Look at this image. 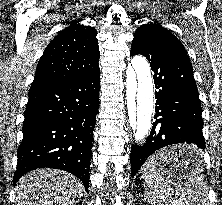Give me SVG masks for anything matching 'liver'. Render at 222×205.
Segmentation results:
<instances>
[{
    "instance_id": "6515ba94",
    "label": "liver",
    "mask_w": 222,
    "mask_h": 205,
    "mask_svg": "<svg viewBox=\"0 0 222 205\" xmlns=\"http://www.w3.org/2000/svg\"><path fill=\"white\" fill-rule=\"evenodd\" d=\"M83 190V184L67 172L37 169L19 180L16 205H75Z\"/></svg>"
}]
</instances>
